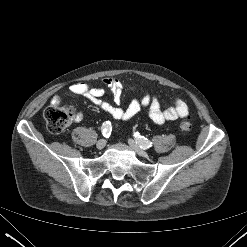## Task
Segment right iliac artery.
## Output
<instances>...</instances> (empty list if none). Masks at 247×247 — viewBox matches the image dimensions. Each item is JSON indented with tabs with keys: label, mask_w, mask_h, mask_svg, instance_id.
<instances>
[{
	"label": "right iliac artery",
	"mask_w": 247,
	"mask_h": 247,
	"mask_svg": "<svg viewBox=\"0 0 247 247\" xmlns=\"http://www.w3.org/2000/svg\"><path fill=\"white\" fill-rule=\"evenodd\" d=\"M112 131V125L111 122L106 121L102 125V134L104 137H109Z\"/></svg>",
	"instance_id": "obj_1"
}]
</instances>
